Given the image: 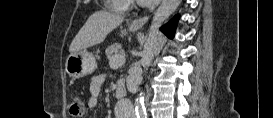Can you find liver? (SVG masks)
<instances>
[{"label": "liver", "instance_id": "liver-1", "mask_svg": "<svg viewBox=\"0 0 273 118\" xmlns=\"http://www.w3.org/2000/svg\"><path fill=\"white\" fill-rule=\"evenodd\" d=\"M124 17L107 11L92 14L70 44L69 52L76 53L102 43L106 36L118 27Z\"/></svg>", "mask_w": 273, "mask_h": 118}]
</instances>
